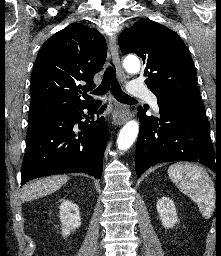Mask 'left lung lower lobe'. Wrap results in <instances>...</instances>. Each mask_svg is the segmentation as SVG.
I'll return each instance as SVG.
<instances>
[{"label":"left lung lower lobe","mask_w":221,"mask_h":256,"mask_svg":"<svg viewBox=\"0 0 221 256\" xmlns=\"http://www.w3.org/2000/svg\"><path fill=\"white\" fill-rule=\"evenodd\" d=\"M157 103L160 118L146 116V111L138 108L137 177L156 163L171 161L199 162L219 174L204 105L186 101Z\"/></svg>","instance_id":"obj_1"}]
</instances>
